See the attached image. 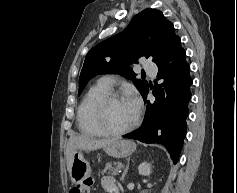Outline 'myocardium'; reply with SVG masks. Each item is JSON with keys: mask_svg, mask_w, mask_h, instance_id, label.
Listing matches in <instances>:
<instances>
[{"mask_svg": "<svg viewBox=\"0 0 237 193\" xmlns=\"http://www.w3.org/2000/svg\"><path fill=\"white\" fill-rule=\"evenodd\" d=\"M125 96L117 92H111L104 94L99 100L96 102L93 112L92 118L95 126L101 131L102 134L108 136H122L130 132L134 127L138 124L140 119V109L139 107L136 109V115L133 121L125 128L121 130H112L108 128L103 122V116L106 110V107L114 101L125 100Z\"/></svg>", "mask_w": 237, "mask_h": 193, "instance_id": "myocardium-1", "label": "myocardium"}]
</instances>
